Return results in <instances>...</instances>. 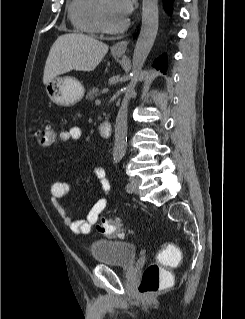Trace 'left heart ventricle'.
Wrapping results in <instances>:
<instances>
[{
  "mask_svg": "<svg viewBox=\"0 0 245 319\" xmlns=\"http://www.w3.org/2000/svg\"><path fill=\"white\" fill-rule=\"evenodd\" d=\"M102 5L105 11L106 17L110 23L119 24L124 21L115 14L113 0H102Z\"/></svg>",
  "mask_w": 245,
  "mask_h": 319,
  "instance_id": "1",
  "label": "left heart ventricle"
}]
</instances>
